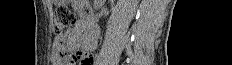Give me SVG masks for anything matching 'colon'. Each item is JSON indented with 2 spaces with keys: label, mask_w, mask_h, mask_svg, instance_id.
<instances>
[{
  "label": "colon",
  "mask_w": 232,
  "mask_h": 65,
  "mask_svg": "<svg viewBox=\"0 0 232 65\" xmlns=\"http://www.w3.org/2000/svg\"><path fill=\"white\" fill-rule=\"evenodd\" d=\"M77 21L76 15L67 7H59L55 11L54 31L57 35V57L60 60H70L71 64L92 65V55L77 51L70 55L64 47L65 36L63 32L73 26Z\"/></svg>",
  "instance_id": "colon-1"
}]
</instances>
